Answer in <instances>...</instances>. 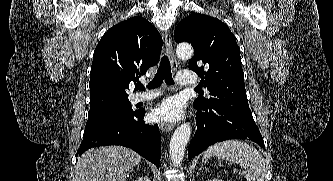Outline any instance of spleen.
<instances>
[{
    "label": "spleen",
    "instance_id": "obj_1",
    "mask_svg": "<svg viewBox=\"0 0 333 181\" xmlns=\"http://www.w3.org/2000/svg\"><path fill=\"white\" fill-rule=\"evenodd\" d=\"M212 156L239 164L247 170V181H264L266 177L265 161L261 153L253 146L239 141L227 140L210 146L204 153L203 162Z\"/></svg>",
    "mask_w": 333,
    "mask_h": 181
}]
</instances>
